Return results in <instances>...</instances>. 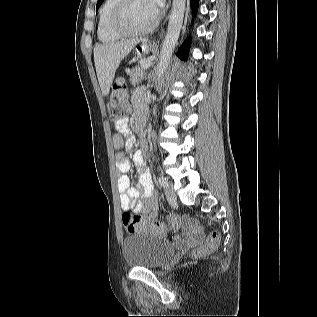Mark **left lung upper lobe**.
I'll use <instances>...</instances> for the list:
<instances>
[{"label":"left lung upper lobe","instance_id":"1","mask_svg":"<svg viewBox=\"0 0 317 317\" xmlns=\"http://www.w3.org/2000/svg\"><path fill=\"white\" fill-rule=\"evenodd\" d=\"M103 1L104 0H98L96 7H99L103 3Z\"/></svg>","mask_w":317,"mask_h":317}]
</instances>
